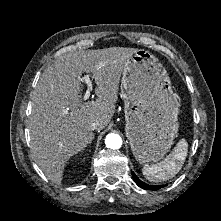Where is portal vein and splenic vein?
Here are the masks:
<instances>
[{"mask_svg":"<svg viewBox=\"0 0 221 221\" xmlns=\"http://www.w3.org/2000/svg\"><path fill=\"white\" fill-rule=\"evenodd\" d=\"M82 80L87 84V90H86V93L83 97V100L86 101L90 96V93H91V90H92L93 86H92V82H91V79H90L89 75H84Z\"/></svg>","mask_w":221,"mask_h":221,"instance_id":"portal-vein-and-splenic-vein-1","label":"portal vein and splenic vein"}]
</instances>
